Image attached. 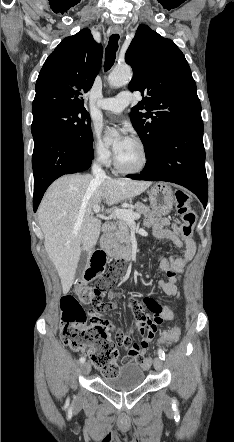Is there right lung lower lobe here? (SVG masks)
<instances>
[{
  "mask_svg": "<svg viewBox=\"0 0 234 442\" xmlns=\"http://www.w3.org/2000/svg\"><path fill=\"white\" fill-rule=\"evenodd\" d=\"M33 138V207L36 211L44 192L55 179L90 167L93 150L92 145L85 146L60 133L39 132Z\"/></svg>",
  "mask_w": 234,
  "mask_h": 442,
  "instance_id": "98d812e1",
  "label": "right lung lower lobe"
}]
</instances>
